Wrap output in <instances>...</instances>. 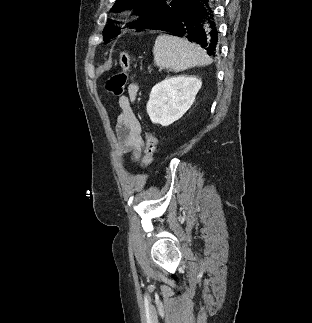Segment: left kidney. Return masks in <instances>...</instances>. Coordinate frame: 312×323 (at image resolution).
I'll use <instances>...</instances> for the list:
<instances>
[{
  "label": "left kidney",
  "instance_id": "5707ae66",
  "mask_svg": "<svg viewBox=\"0 0 312 323\" xmlns=\"http://www.w3.org/2000/svg\"><path fill=\"white\" fill-rule=\"evenodd\" d=\"M202 86L195 76L166 78L152 88L147 104V114L153 124L170 126L192 106L197 92Z\"/></svg>",
  "mask_w": 312,
  "mask_h": 323
}]
</instances>
